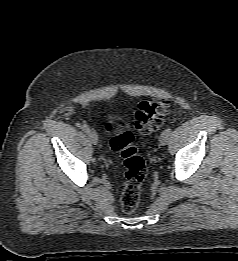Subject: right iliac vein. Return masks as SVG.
Here are the masks:
<instances>
[{
    "label": "right iliac vein",
    "mask_w": 238,
    "mask_h": 261,
    "mask_svg": "<svg viewBox=\"0 0 238 261\" xmlns=\"http://www.w3.org/2000/svg\"><path fill=\"white\" fill-rule=\"evenodd\" d=\"M87 135L92 144L96 145L98 143V135L95 131L89 130L87 132Z\"/></svg>",
    "instance_id": "obj_1"
}]
</instances>
